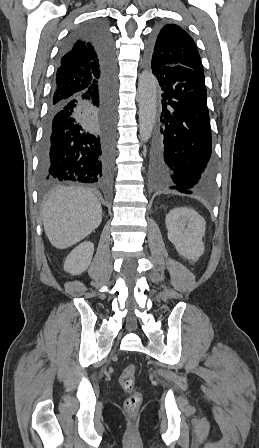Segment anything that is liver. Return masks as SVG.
I'll use <instances>...</instances> for the list:
<instances>
[{
    "label": "liver",
    "mask_w": 259,
    "mask_h": 448,
    "mask_svg": "<svg viewBox=\"0 0 259 448\" xmlns=\"http://www.w3.org/2000/svg\"><path fill=\"white\" fill-rule=\"evenodd\" d=\"M101 222V204L91 190L84 188H58L43 206L45 234L60 250L84 240Z\"/></svg>",
    "instance_id": "obj_1"
}]
</instances>
